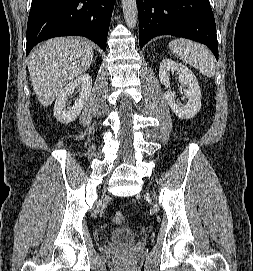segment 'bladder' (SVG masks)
<instances>
[{
  "label": "bladder",
  "mask_w": 253,
  "mask_h": 271,
  "mask_svg": "<svg viewBox=\"0 0 253 271\" xmlns=\"http://www.w3.org/2000/svg\"><path fill=\"white\" fill-rule=\"evenodd\" d=\"M135 238L136 234L130 227L115 228L110 235L111 241L122 243L133 242Z\"/></svg>",
  "instance_id": "obj_1"
}]
</instances>
